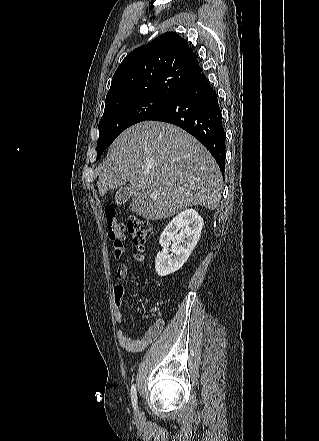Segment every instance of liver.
<instances>
[{
    "label": "liver",
    "mask_w": 319,
    "mask_h": 441,
    "mask_svg": "<svg viewBox=\"0 0 319 441\" xmlns=\"http://www.w3.org/2000/svg\"><path fill=\"white\" fill-rule=\"evenodd\" d=\"M222 181L215 159L192 135L169 123L144 121L111 144L97 185L103 197L129 182L131 211L158 220L190 206L214 210Z\"/></svg>",
    "instance_id": "1"
}]
</instances>
